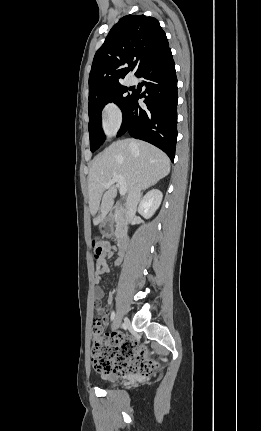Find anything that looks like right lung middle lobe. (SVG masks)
Here are the masks:
<instances>
[{"instance_id": "right-lung-middle-lobe-1", "label": "right lung middle lobe", "mask_w": 261, "mask_h": 431, "mask_svg": "<svg viewBox=\"0 0 261 431\" xmlns=\"http://www.w3.org/2000/svg\"><path fill=\"white\" fill-rule=\"evenodd\" d=\"M129 89L120 83L89 95V124L91 152L96 151L105 140V135L101 126V111L109 102H114L120 109H125L132 94H127Z\"/></svg>"}]
</instances>
